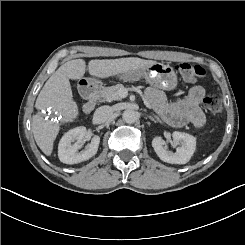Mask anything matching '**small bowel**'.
Here are the masks:
<instances>
[{"mask_svg": "<svg viewBox=\"0 0 245 245\" xmlns=\"http://www.w3.org/2000/svg\"><path fill=\"white\" fill-rule=\"evenodd\" d=\"M205 95V89L195 85L189 89L185 98L169 103L165 94L157 88L150 87L145 92L147 102L167 124L173 127L187 124H192L196 128L204 126L206 116L201 104Z\"/></svg>", "mask_w": 245, "mask_h": 245, "instance_id": "small-bowel-1", "label": "small bowel"}]
</instances>
